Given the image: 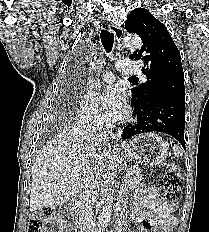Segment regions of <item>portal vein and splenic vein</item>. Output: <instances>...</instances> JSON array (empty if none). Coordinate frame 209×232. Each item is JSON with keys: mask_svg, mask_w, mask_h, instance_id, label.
<instances>
[{"mask_svg": "<svg viewBox=\"0 0 209 232\" xmlns=\"http://www.w3.org/2000/svg\"><path fill=\"white\" fill-rule=\"evenodd\" d=\"M129 174H130V173H127L126 176L128 177Z\"/></svg>", "mask_w": 209, "mask_h": 232, "instance_id": "obj_1", "label": "portal vein and splenic vein"}]
</instances>
